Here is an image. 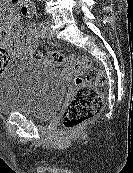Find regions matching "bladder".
<instances>
[{
  "mask_svg": "<svg viewBox=\"0 0 133 173\" xmlns=\"http://www.w3.org/2000/svg\"><path fill=\"white\" fill-rule=\"evenodd\" d=\"M66 95L60 71L49 64L18 58L0 74V113H24L50 119Z\"/></svg>",
  "mask_w": 133,
  "mask_h": 173,
  "instance_id": "obj_1",
  "label": "bladder"
}]
</instances>
